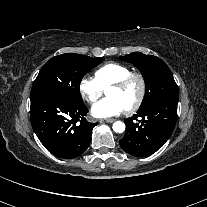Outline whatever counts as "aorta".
<instances>
[{
    "mask_svg": "<svg viewBox=\"0 0 207 207\" xmlns=\"http://www.w3.org/2000/svg\"><path fill=\"white\" fill-rule=\"evenodd\" d=\"M112 128L116 133H123L125 131V124L121 121H116L113 123Z\"/></svg>",
    "mask_w": 207,
    "mask_h": 207,
    "instance_id": "762f6f07",
    "label": "aorta"
}]
</instances>
